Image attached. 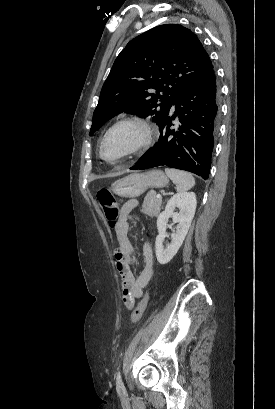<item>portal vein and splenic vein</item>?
Here are the masks:
<instances>
[{
  "label": "portal vein and splenic vein",
  "mask_w": 275,
  "mask_h": 409,
  "mask_svg": "<svg viewBox=\"0 0 275 409\" xmlns=\"http://www.w3.org/2000/svg\"><path fill=\"white\" fill-rule=\"evenodd\" d=\"M157 198H161V194H157Z\"/></svg>",
  "instance_id": "18ae733b"
}]
</instances>
